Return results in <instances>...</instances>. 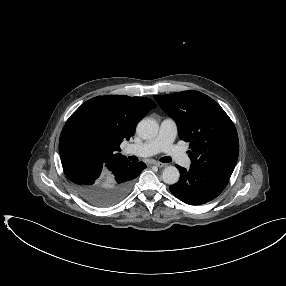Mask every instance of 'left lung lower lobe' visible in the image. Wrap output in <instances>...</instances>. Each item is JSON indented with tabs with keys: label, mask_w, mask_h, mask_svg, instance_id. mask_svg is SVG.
Masks as SVG:
<instances>
[{
	"label": "left lung lower lobe",
	"mask_w": 286,
	"mask_h": 286,
	"mask_svg": "<svg viewBox=\"0 0 286 286\" xmlns=\"http://www.w3.org/2000/svg\"><path fill=\"white\" fill-rule=\"evenodd\" d=\"M179 181L169 187L171 193L190 205L205 204L216 198L228 184V178L216 172L190 166L189 170L176 165Z\"/></svg>",
	"instance_id": "0a47b994"
}]
</instances>
